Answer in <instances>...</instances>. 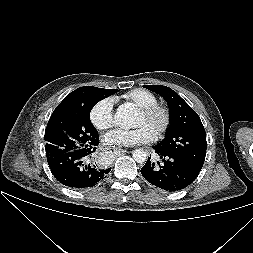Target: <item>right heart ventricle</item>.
<instances>
[{
  "mask_svg": "<svg viewBox=\"0 0 253 253\" xmlns=\"http://www.w3.org/2000/svg\"><path fill=\"white\" fill-rule=\"evenodd\" d=\"M125 101L134 104L138 108L157 103V97L151 91L136 88L123 95Z\"/></svg>",
  "mask_w": 253,
  "mask_h": 253,
  "instance_id": "obj_1",
  "label": "right heart ventricle"
}]
</instances>
